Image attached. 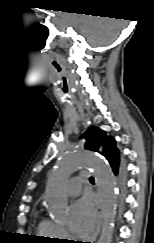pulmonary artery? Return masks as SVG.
I'll return each mask as SVG.
<instances>
[{"instance_id":"e3ab8cb5","label":"pulmonary artery","mask_w":154,"mask_h":243,"mask_svg":"<svg viewBox=\"0 0 154 243\" xmlns=\"http://www.w3.org/2000/svg\"><path fill=\"white\" fill-rule=\"evenodd\" d=\"M87 171H81L79 176L71 178L65 185V191L68 195L74 196L77 195L81 190V180L85 177Z\"/></svg>"}]
</instances>
